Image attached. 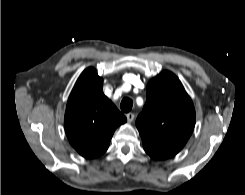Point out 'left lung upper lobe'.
I'll return each mask as SVG.
<instances>
[{"label": "left lung upper lobe", "mask_w": 245, "mask_h": 195, "mask_svg": "<svg viewBox=\"0 0 245 195\" xmlns=\"http://www.w3.org/2000/svg\"><path fill=\"white\" fill-rule=\"evenodd\" d=\"M136 126L143 145L175 155L186 144L195 126V109L180 80L163 71L147 85V100Z\"/></svg>", "instance_id": "1"}]
</instances>
